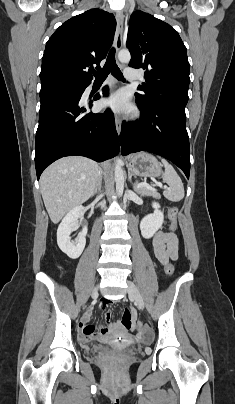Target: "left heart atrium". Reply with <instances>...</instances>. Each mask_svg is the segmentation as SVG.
<instances>
[{
    "label": "left heart atrium",
    "mask_w": 235,
    "mask_h": 404,
    "mask_svg": "<svg viewBox=\"0 0 235 404\" xmlns=\"http://www.w3.org/2000/svg\"><path fill=\"white\" fill-rule=\"evenodd\" d=\"M104 106L118 114H127L132 111L130 98L125 91H117L104 101Z\"/></svg>",
    "instance_id": "obj_1"
}]
</instances>
